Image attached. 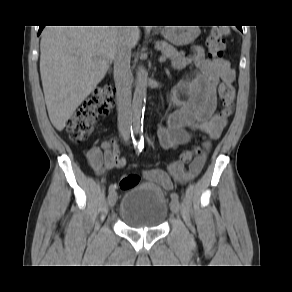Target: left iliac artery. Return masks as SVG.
<instances>
[{"label": "left iliac artery", "mask_w": 292, "mask_h": 292, "mask_svg": "<svg viewBox=\"0 0 292 292\" xmlns=\"http://www.w3.org/2000/svg\"><path fill=\"white\" fill-rule=\"evenodd\" d=\"M171 199H172V201H174V200L178 201V199H179L178 194L177 193H172L171 194Z\"/></svg>", "instance_id": "left-iliac-artery-1"}]
</instances>
